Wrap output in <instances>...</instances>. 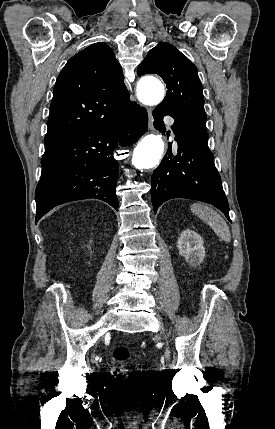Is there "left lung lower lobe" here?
Instances as JSON below:
<instances>
[{"label":"left lung lower lobe","instance_id":"obj_1","mask_svg":"<svg viewBox=\"0 0 275 429\" xmlns=\"http://www.w3.org/2000/svg\"><path fill=\"white\" fill-rule=\"evenodd\" d=\"M165 115L174 118L171 128L176 135L178 150L174 155L170 146L152 174L151 200L154 212L169 199L188 198L214 205L231 222L221 178L214 165L213 153L207 146L208 135L157 106L153 111L154 127L162 134L166 132L163 123Z\"/></svg>","mask_w":275,"mask_h":429}]
</instances>
